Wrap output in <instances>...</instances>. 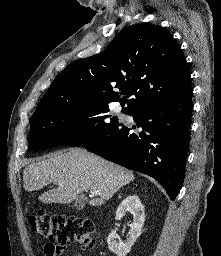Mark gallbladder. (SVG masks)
<instances>
[{"instance_id":"1","label":"gallbladder","mask_w":221,"mask_h":256,"mask_svg":"<svg viewBox=\"0 0 221 256\" xmlns=\"http://www.w3.org/2000/svg\"><path fill=\"white\" fill-rule=\"evenodd\" d=\"M87 202V197L85 196H80L76 199L75 203H74V207L77 209V210H81L83 209V207L85 206Z\"/></svg>"}]
</instances>
